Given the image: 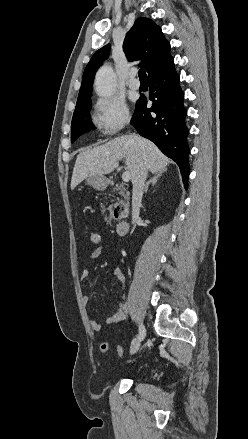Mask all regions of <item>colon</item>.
Returning a JSON list of instances; mask_svg holds the SVG:
<instances>
[{
  "mask_svg": "<svg viewBox=\"0 0 248 439\" xmlns=\"http://www.w3.org/2000/svg\"><path fill=\"white\" fill-rule=\"evenodd\" d=\"M89 241L92 245L100 246L102 242L101 234L98 231H91L88 234ZM110 350V345L107 342H104L100 346L101 353H107ZM117 354L122 357L124 355V349L121 346L116 347Z\"/></svg>",
  "mask_w": 248,
  "mask_h": 439,
  "instance_id": "5ec220e1",
  "label": "colon"
}]
</instances>
